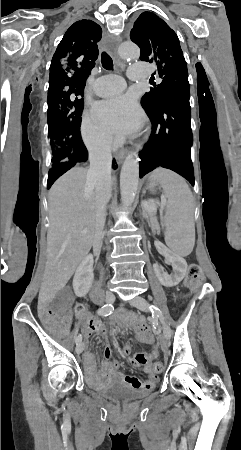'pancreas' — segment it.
Segmentation results:
<instances>
[{"label":"pancreas","mask_w":241,"mask_h":450,"mask_svg":"<svg viewBox=\"0 0 241 450\" xmlns=\"http://www.w3.org/2000/svg\"><path fill=\"white\" fill-rule=\"evenodd\" d=\"M149 218H150L151 222H152V220H156V218H154L153 214H149ZM152 228H153V226H152Z\"/></svg>","instance_id":"1"}]
</instances>
